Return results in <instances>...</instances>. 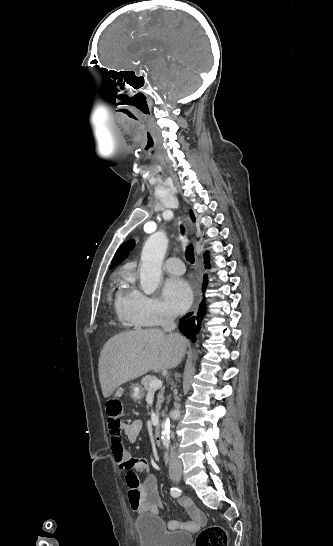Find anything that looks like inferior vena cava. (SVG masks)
<instances>
[{
    "label": "inferior vena cava",
    "mask_w": 333,
    "mask_h": 546,
    "mask_svg": "<svg viewBox=\"0 0 333 546\" xmlns=\"http://www.w3.org/2000/svg\"><path fill=\"white\" fill-rule=\"evenodd\" d=\"M162 327L165 332H172L176 328L174 318L171 315H164ZM180 338L178 334H175ZM181 467V461L177 457L175 448L172 447L169 453V468Z\"/></svg>",
    "instance_id": "obj_1"
}]
</instances>
